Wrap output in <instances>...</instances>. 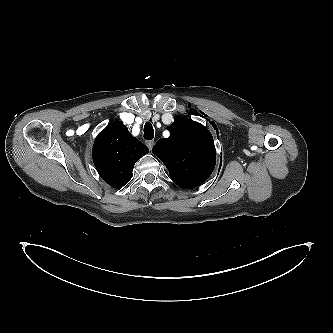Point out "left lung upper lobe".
I'll return each mask as SVG.
<instances>
[{
    "label": "left lung upper lobe",
    "instance_id": "5c2ea615",
    "mask_svg": "<svg viewBox=\"0 0 333 333\" xmlns=\"http://www.w3.org/2000/svg\"><path fill=\"white\" fill-rule=\"evenodd\" d=\"M170 136L157 141L152 152L180 188L192 189L208 179L216 164L211 133L201 124L176 116L167 127Z\"/></svg>",
    "mask_w": 333,
    "mask_h": 333
}]
</instances>
